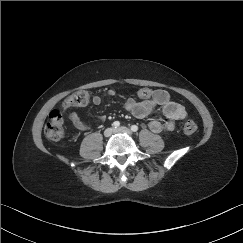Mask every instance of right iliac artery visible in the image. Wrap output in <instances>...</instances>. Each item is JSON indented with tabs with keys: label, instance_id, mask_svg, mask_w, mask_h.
Masks as SVG:
<instances>
[{
	"label": "right iliac artery",
	"instance_id": "82829eb1",
	"mask_svg": "<svg viewBox=\"0 0 243 243\" xmlns=\"http://www.w3.org/2000/svg\"><path fill=\"white\" fill-rule=\"evenodd\" d=\"M112 126L114 128H118L120 126V123L118 121L113 122Z\"/></svg>",
	"mask_w": 243,
	"mask_h": 243
}]
</instances>
